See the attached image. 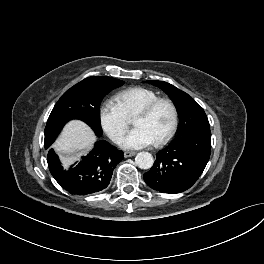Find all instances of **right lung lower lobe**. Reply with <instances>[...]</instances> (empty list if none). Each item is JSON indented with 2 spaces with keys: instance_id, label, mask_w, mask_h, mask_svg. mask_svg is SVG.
Instances as JSON below:
<instances>
[{
  "instance_id": "obj_1",
  "label": "right lung lower lobe",
  "mask_w": 264,
  "mask_h": 264,
  "mask_svg": "<svg viewBox=\"0 0 264 264\" xmlns=\"http://www.w3.org/2000/svg\"><path fill=\"white\" fill-rule=\"evenodd\" d=\"M123 158L122 151L107 141L99 140L87 156L67 171L53 149L48 152L47 162L52 176L62 188L71 194L86 195L105 189L114 168Z\"/></svg>"
}]
</instances>
